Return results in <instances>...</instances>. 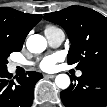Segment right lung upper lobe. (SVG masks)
<instances>
[{
	"instance_id": "obj_1",
	"label": "right lung upper lobe",
	"mask_w": 107,
	"mask_h": 107,
	"mask_svg": "<svg viewBox=\"0 0 107 107\" xmlns=\"http://www.w3.org/2000/svg\"><path fill=\"white\" fill-rule=\"evenodd\" d=\"M41 18V14L23 13L9 7L0 8V40L12 50L20 51L27 34Z\"/></svg>"
}]
</instances>
